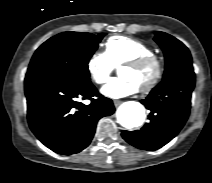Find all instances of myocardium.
Instances as JSON below:
<instances>
[{
    "instance_id": "f54148a6",
    "label": "myocardium",
    "mask_w": 212,
    "mask_h": 183,
    "mask_svg": "<svg viewBox=\"0 0 212 183\" xmlns=\"http://www.w3.org/2000/svg\"><path fill=\"white\" fill-rule=\"evenodd\" d=\"M149 66L153 67L154 74L147 84L138 88L140 92H147L153 89L158 84L163 74L162 61L156 55H144L134 58L121 65V68L126 67L132 69H140Z\"/></svg>"
}]
</instances>
